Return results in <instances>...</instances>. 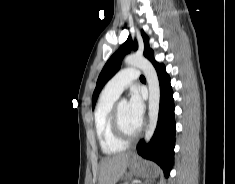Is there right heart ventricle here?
Returning a JSON list of instances; mask_svg holds the SVG:
<instances>
[{
    "mask_svg": "<svg viewBox=\"0 0 235 184\" xmlns=\"http://www.w3.org/2000/svg\"><path fill=\"white\" fill-rule=\"evenodd\" d=\"M116 97L102 94L95 107L93 123L95 133L102 151L106 155H114L123 151L127 144L119 139L112 129V109Z\"/></svg>",
    "mask_w": 235,
    "mask_h": 184,
    "instance_id": "obj_1",
    "label": "right heart ventricle"
}]
</instances>
